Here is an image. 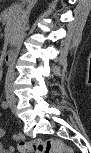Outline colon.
I'll return each instance as SVG.
<instances>
[{
  "mask_svg": "<svg viewBox=\"0 0 91 153\" xmlns=\"http://www.w3.org/2000/svg\"><path fill=\"white\" fill-rule=\"evenodd\" d=\"M16 148L19 152L35 153H72V149L64 144L60 139H34L26 141L18 139Z\"/></svg>",
  "mask_w": 91,
  "mask_h": 153,
  "instance_id": "colon-1",
  "label": "colon"
}]
</instances>
